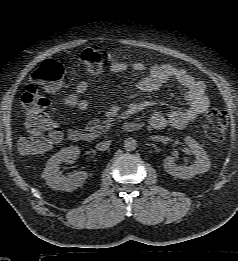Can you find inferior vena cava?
Listing matches in <instances>:
<instances>
[{
    "label": "inferior vena cava",
    "instance_id": "602c4592",
    "mask_svg": "<svg viewBox=\"0 0 238 261\" xmlns=\"http://www.w3.org/2000/svg\"><path fill=\"white\" fill-rule=\"evenodd\" d=\"M110 146V141H103V142H99L97 145H96V149L98 151H105L109 148Z\"/></svg>",
    "mask_w": 238,
    "mask_h": 261
}]
</instances>
